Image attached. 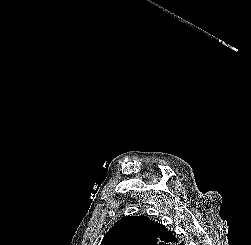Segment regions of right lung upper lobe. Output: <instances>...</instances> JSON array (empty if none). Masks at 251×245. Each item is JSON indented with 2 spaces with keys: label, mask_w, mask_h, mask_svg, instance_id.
I'll use <instances>...</instances> for the list:
<instances>
[{
  "label": "right lung upper lobe",
  "mask_w": 251,
  "mask_h": 245,
  "mask_svg": "<svg viewBox=\"0 0 251 245\" xmlns=\"http://www.w3.org/2000/svg\"><path fill=\"white\" fill-rule=\"evenodd\" d=\"M178 239L147 216H127L117 221L101 245H174Z\"/></svg>",
  "instance_id": "right-lung-upper-lobe-1"
}]
</instances>
